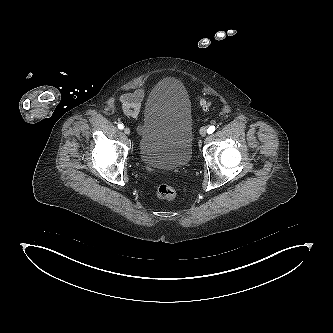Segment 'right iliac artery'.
Returning <instances> with one entry per match:
<instances>
[{
  "instance_id": "obj_1",
  "label": "right iliac artery",
  "mask_w": 333,
  "mask_h": 333,
  "mask_svg": "<svg viewBox=\"0 0 333 333\" xmlns=\"http://www.w3.org/2000/svg\"><path fill=\"white\" fill-rule=\"evenodd\" d=\"M124 128L123 124H118V129L122 130Z\"/></svg>"
}]
</instances>
